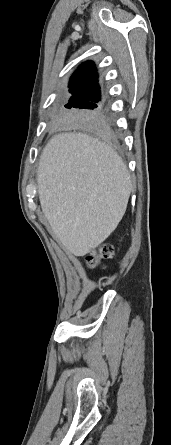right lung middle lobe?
<instances>
[{
    "mask_svg": "<svg viewBox=\"0 0 171 445\" xmlns=\"http://www.w3.org/2000/svg\"><path fill=\"white\" fill-rule=\"evenodd\" d=\"M64 107L66 109L58 114L60 120L106 135L101 122L105 106L100 96L71 93V98Z\"/></svg>",
    "mask_w": 171,
    "mask_h": 445,
    "instance_id": "dd1d6c3e",
    "label": "right lung middle lobe"
}]
</instances>
